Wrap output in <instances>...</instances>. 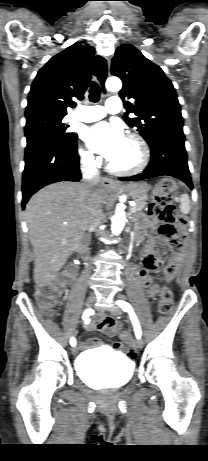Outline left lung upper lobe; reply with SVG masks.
I'll return each mask as SVG.
<instances>
[{
  "label": "left lung upper lobe",
  "mask_w": 208,
  "mask_h": 461,
  "mask_svg": "<svg viewBox=\"0 0 208 461\" xmlns=\"http://www.w3.org/2000/svg\"><path fill=\"white\" fill-rule=\"evenodd\" d=\"M111 73L123 81L119 95L125 103L126 123L135 127L149 146L161 135L184 134L175 88L158 65L134 46L123 44L112 59ZM129 113L136 116L128 118Z\"/></svg>",
  "instance_id": "5c2ea615"
}]
</instances>
